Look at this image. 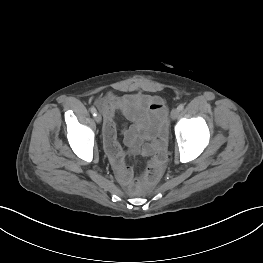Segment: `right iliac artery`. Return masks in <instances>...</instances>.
I'll use <instances>...</instances> for the list:
<instances>
[{
  "label": "right iliac artery",
  "instance_id": "82829eb1",
  "mask_svg": "<svg viewBox=\"0 0 263 263\" xmlns=\"http://www.w3.org/2000/svg\"><path fill=\"white\" fill-rule=\"evenodd\" d=\"M90 111H91V113L93 114V116H95L96 113H97L95 107H91V108H90Z\"/></svg>",
  "mask_w": 263,
  "mask_h": 263
}]
</instances>
